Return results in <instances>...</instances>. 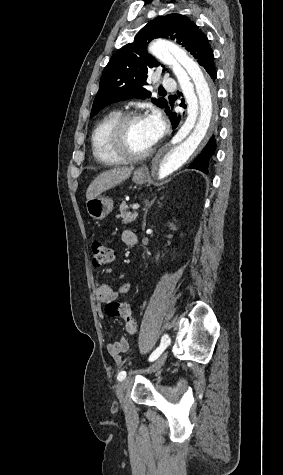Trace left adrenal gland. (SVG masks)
I'll use <instances>...</instances> for the list:
<instances>
[{"label":"left adrenal gland","instance_id":"a2214340","mask_svg":"<svg viewBox=\"0 0 283 475\" xmlns=\"http://www.w3.org/2000/svg\"><path fill=\"white\" fill-rule=\"evenodd\" d=\"M155 200H156V198H153V200H151V202H149V200H146V202H145L146 208H144L145 214H144V216H143V222H142L143 226H142V230H145L147 212H148L149 208H151L152 204H154Z\"/></svg>","mask_w":283,"mask_h":475}]
</instances>
